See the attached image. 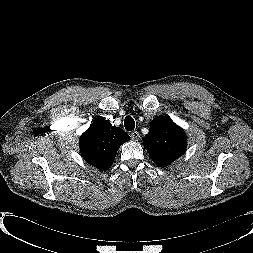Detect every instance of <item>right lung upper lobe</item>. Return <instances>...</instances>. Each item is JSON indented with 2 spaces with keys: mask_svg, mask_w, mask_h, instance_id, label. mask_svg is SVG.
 I'll list each match as a JSON object with an SVG mask.
<instances>
[{
  "mask_svg": "<svg viewBox=\"0 0 253 253\" xmlns=\"http://www.w3.org/2000/svg\"><path fill=\"white\" fill-rule=\"evenodd\" d=\"M130 139L121 128L99 119L80 137V151L83 158L99 170H107L113 164L121 144Z\"/></svg>",
  "mask_w": 253,
  "mask_h": 253,
  "instance_id": "cb5924a9",
  "label": "right lung upper lobe"
}]
</instances>
